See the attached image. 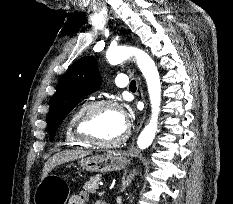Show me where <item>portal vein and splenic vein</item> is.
<instances>
[{
    "label": "portal vein and splenic vein",
    "instance_id": "18ae733b",
    "mask_svg": "<svg viewBox=\"0 0 233 204\" xmlns=\"http://www.w3.org/2000/svg\"><path fill=\"white\" fill-rule=\"evenodd\" d=\"M105 191L103 190V191H101V193L99 194V195H101V194H103Z\"/></svg>",
    "mask_w": 233,
    "mask_h": 204
}]
</instances>
